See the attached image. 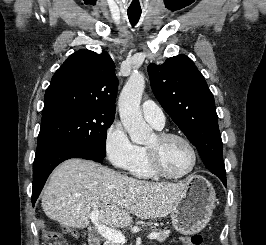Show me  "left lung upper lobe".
Segmentation results:
<instances>
[{
    "label": "left lung upper lobe",
    "instance_id": "1",
    "mask_svg": "<svg viewBox=\"0 0 266 245\" xmlns=\"http://www.w3.org/2000/svg\"><path fill=\"white\" fill-rule=\"evenodd\" d=\"M155 97L189 141L197 147L206 167L226 177L222 140L213 94L203 75L185 55L148 66Z\"/></svg>",
    "mask_w": 266,
    "mask_h": 245
}]
</instances>
